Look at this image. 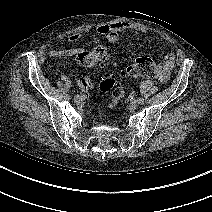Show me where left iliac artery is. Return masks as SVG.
Returning <instances> with one entry per match:
<instances>
[{
	"mask_svg": "<svg viewBox=\"0 0 212 212\" xmlns=\"http://www.w3.org/2000/svg\"><path fill=\"white\" fill-rule=\"evenodd\" d=\"M137 101H138V103H139L140 105H143V104H144V99L141 98V97H139V98L137 99Z\"/></svg>",
	"mask_w": 212,
	"mask_h": 212,
	"instance_id": "1",
	"label": "left iliac artery"
}]
</instances>
